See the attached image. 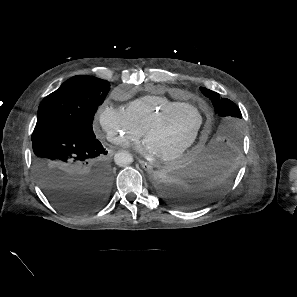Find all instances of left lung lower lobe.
I'll return each mask as SVG.
<instances>
[{
	"mask_svg": "<svg viewBox=\"0 0 297 297\" xmlns=\"http://www.w3.org/2000/svg\"><path fill=\"white\" fill-rule=\"evenodd\" d=\"M237 154L214 142L199 145L155 174L157 192L174 207L189 210L207 205L231 185Z\"/></svg>",
	"mask_w": 297,
	"mask_h": 297,
	"instance_id": "left-lung-lower-lobe-1",
	"label": "left lung lower lobe"
}]
</instances>
